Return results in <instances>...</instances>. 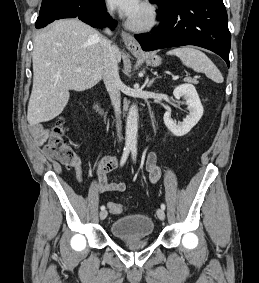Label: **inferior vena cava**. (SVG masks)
I'll return each mask as SVG.
<instances>
[{"instance_id":"inferior-vena-cava-1","label":"inferior vena cava","mask_w":259,"mask_h":283,"mask_svg":"<svg viewBox=\"0 0 259 283\" xmlns=\"http://www.w3.org/2000/svg\"><path fill=\"white\" fill-rule=\"evenodd\" d=\"M105 32L111 35L110 29L106 28ZM103 80L105 87L111 98L116 118L120 121L121 114V80L118 73V66L115 57L114 46L111 45V42L108 39L103 40ZM121 128L118 125L117 133L120 138Z\"/></svg>"}]
</instances>
